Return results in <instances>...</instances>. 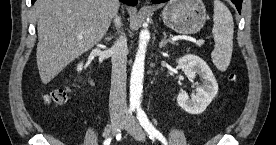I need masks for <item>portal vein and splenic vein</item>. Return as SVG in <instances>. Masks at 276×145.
I'll use <instances>...</instances> for the list:
<instances>
[{
	"label": "portal vein and splenic vein",
	"mask_w": 276,
	"mask_h": 145,
	"mask_svg": "<svg viewBox=\"0 0 276 145\" xmlns=\"http://www.w3.org/2000/svg\"><path fill=\"white\" fill-rule=\"evenodd\" d=\"M204 43H205V40L200 39V40H198V41L196 42V45H197V46H201V45H203Z\"/></svg>",
	"instance_id": "18ae733b"
}]
</instances>
